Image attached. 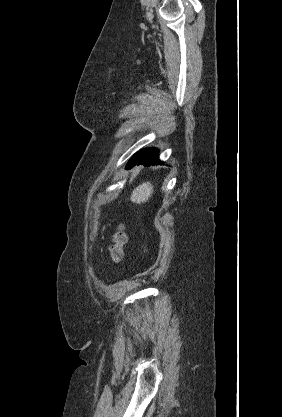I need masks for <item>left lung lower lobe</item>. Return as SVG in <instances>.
Returning <instances> with one entry per match:
<instances>
[{"label": "left lung lower lobe", "instance_id": "obj_1", "mask_svg": "<svg viewBox=\"0 0 282 417\" xmlns=\"http://www.w3.org/2000/svg\"><path fill=\"white\" fill-rule=\"evenodd\" d=\"M140 164L145 166L161 164L157 149H144L136 153L127 164L126 169H131L133 166Z\"/></svg>", "mask_w": 282, "mask_h": 417}]
</instances>
